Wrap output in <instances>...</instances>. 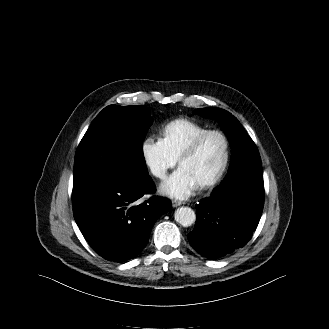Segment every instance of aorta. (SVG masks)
<instances>
[{
    "label": "aorta",
    "instance_id": "aorta-1",
    "mask_svg": "<svg viewBox=\"0 0 329 329\" xmlns=\"http://www.w3.org/2000/svg\"><path fill=\"white\" fill-rule=\"evenodd\" d=\"M175 220L183 227H188L196 221V215L190 207H180L175 211Z\"/></svg>",
    "mask_w": 329,
    "mask_h": 329
}]
</instances>
